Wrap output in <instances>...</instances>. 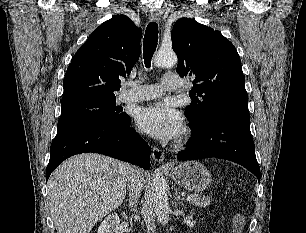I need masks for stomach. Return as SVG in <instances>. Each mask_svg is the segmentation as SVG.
Masks as SVG:
<instances>
[{
	"instance_id": "obj_1",
	"label": "stomach",
	"mask_w": 306,
	"mask_h": 233,
	"mask_svg": "<svg viewBox=\"0 0 306 233\" xmlns=\"http://www.w3.org/2000/svg\"><path fill=\"white\" fill-rule=\"evenodd\" d=\"M171 178L193 192L204 191L211 183L210 172L198 161H186L170 170Z\"/></svg>"
}]
</instances>
